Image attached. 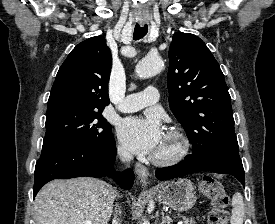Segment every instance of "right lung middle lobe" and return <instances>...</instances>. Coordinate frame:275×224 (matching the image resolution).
I'll return each instance as SVG.
<instances>
[{
  "instance_id": "right-lung-middle-lobe-1",
  "label": "right lung middle lobe",
  "mask_w": 275,
  "mask_h": 224,
  "mask_svg": "<svg viewBox=\"0 0 275 224\" xmlns=\"http://www.w3.org/2000/svg\"><path fill=\"white\" fill-rule=\"evenodd\" d=\"M102 110L62 109L46 116L47 145H86L110 138L111 125L101 114Z\"/></svg>"
}]
</instances>
